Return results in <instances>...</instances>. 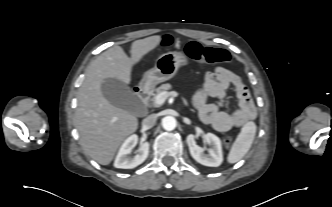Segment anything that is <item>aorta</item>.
Here are the masks:
<instances>
[{
    "label": "aorta",
    "instance_id": "762f6f07",
    "mask_svg": "<svg viewBox=\"0 0 332 207\" xmlns=\"http://www.w3.org/2000/svg\"><path fill=\"white\" fill-rule=\"evenodd\" d=\"M176 125L177 121L173 116H166L162 119V126L167 131L174 130Z\"/></svg>",
    "mask_w": 332,
    "mask_h": 207
}]
</instances>
